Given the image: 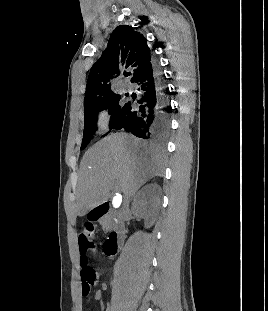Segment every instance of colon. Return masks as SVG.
Listing matches in <instances>:
<instances>
[{
    "mask_svg": "<svg viewBox=\"0 0 268 311\" xmlns=\"http://www.w3.org/2000/svg\"><path fill=\"white\" fill-rule=\"evenodd\" d=\"M94 227L86 224L79 235L80 265L83 293L87 295L90 289L97 283L98 274L89 266V259L97 254V245L93 240ZM105 252V251H104ZM106 254V252H105ZM107 255V254H106Z\"/></svg>",
    "mask_w": 268,
    "mask_h": 311,
    "instance_id": "obj_1",
    "label": "colon"
}]
</instances>
